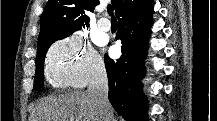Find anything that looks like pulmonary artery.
<instances>
[{"label": "pulmonary artery", "instance_id": "1", "mask_svg": "<svg viewBox=\"0 0 217 121\" xmlns=\"http://www.w3.org/2000/svg\"><path fill=\"white\" fill-rule=\"evenodd\" d=\"M97 26L102 31H109L111 29V22L107 18H101L98 20Z\"/></svg>", "mask_w": 217, "mask_h": 121}]
</instances>
